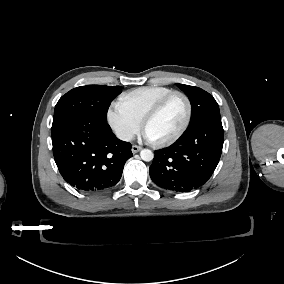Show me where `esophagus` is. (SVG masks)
<instances>
[{
  "mask_svg": "<svg viewBox=\"0 0 284 284\" xmlns=\"http://www.w3.org/2000/svg\"><path fill=\"white\" fill-rule=\"evenodd\" d=\"M142 148L138 145H132V153L136 154L137 152H139Z\"/></svg>",
  "mask_w": 284,
  "mask_h": 284,
  "instance_id": "esophagus-1",
  "label": "esophagus"
}]
</instances>
